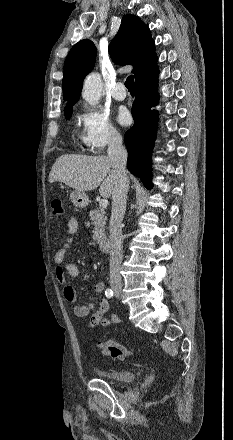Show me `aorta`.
<instances>
[{"label": "aorta", "instance_id": "obj_1", "mask_svg": "<svg viewBox=\"0 0 233 440\" xmlns=\"http://www.w3.org/2000/svg\"><path fill=\"white\" fill-rule=\"evenodd\" d=\"M103 83L98 73L89 74L85 81L82 91V97L90 105H96L101 99Z\"/></svg>", "mask_w": 233, "mask_h": 440}]
</instances>
